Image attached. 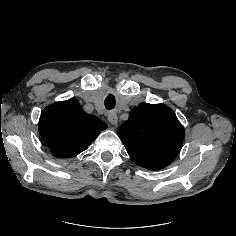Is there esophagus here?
Segmentation results:
<instances>
[{"instance_id":"34e87169","label":"esophagus","mask_w":236,"mask_h":236,"mask_svg":"<svg viewBox=\"0 0 236 236\" xmlns=\"http://www.w3.org/2000/svg\"><path fill=\"white\" fill-rule=\"evenodd\" d=\"M108 121L112 124V125H117L118 123V117H117V114L112 111L108 114Z\"/></svg>"}]
</instances>
